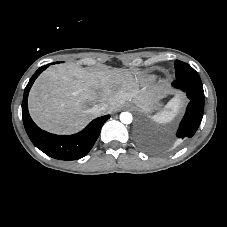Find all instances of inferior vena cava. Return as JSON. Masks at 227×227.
<instances>
[{
  "label": "inferior vena cava",
  "instance_id": "602c4592",
  "mask_svg": "<svg viewBox=\"0 0 227 227\" xmlns=\"http://www.w3.org/2000/svg\"><path fill=\"white\" fill-rule=\"evenodd\" d=\"M108 108L107 103L105 102H100L95 104L92 108H91V112L95 115V116H99L102 115L106 112Z\"/></svg>",
  "mask_w": 227,
  "mask_h": 227
}]
</instances>
